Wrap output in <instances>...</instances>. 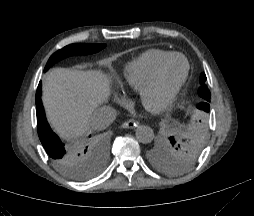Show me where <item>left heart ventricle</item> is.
<instances>
[{"mask_svg": "<svg viewBox=\"0 0 254 216\" xmlns=\"http://www.w3.org/2000/svg\"><path fill=\"white\" fill-rule=\"evenodd\" d=\"M185 69V63L181 58L171 61L163 70L156 89L147 97V103L151 106L158 105L168 91L177 83Z\"/></svg>", "mask_w": 254, "mask_h": 216, "instance_id": "b2bd125f", "label": "left heart ventricle"}]
</instances>
